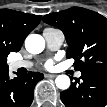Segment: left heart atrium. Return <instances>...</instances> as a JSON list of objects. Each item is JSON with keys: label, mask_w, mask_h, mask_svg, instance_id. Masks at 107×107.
I'll return each mask as SVG.
<instances>
[{"label": "left heart atrium", "mask_w": 107, "mask_h": 107, "mask_svg": "<svg viewBox=\"0 0 107 107\" xmlns=\"http://www.w3.org/2000/svg\"><path fill=\"white\" fill-rule=\"evenodd\" d=\"M53 66V61L52 60H48L46 63H45V67L46 68H52Z\"/></svg>", "instance_id": "obj_1"}]
</instances>
